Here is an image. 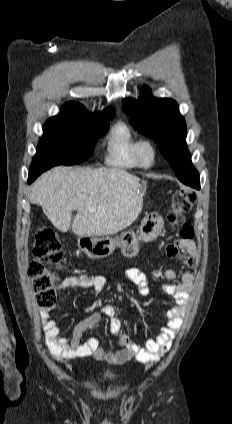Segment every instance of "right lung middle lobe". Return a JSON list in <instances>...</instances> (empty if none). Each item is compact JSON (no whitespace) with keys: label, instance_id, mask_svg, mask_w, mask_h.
Returning <instances> with one entry per match:
<instances>
[{"label":"right lung middle lobe","instance_id":"dd1d6c3e","mask_svg":"<svg viewBox=\"0 0 232 424\" xmlns=\"http://www.w3.org/2000/svg\"><path fill=\"white\" fill-rule=\"evenodd\" d=\"M113 117L98 121L59 114L49 118L43 126V136L39 140L29 176H39L55 165H72L88 159L97 139L109 127L107 121Z\"/></svg>","mask_w":232,"mask_h":424}]
</instances>
